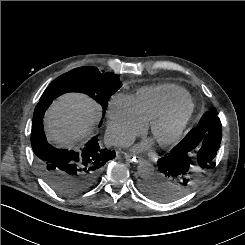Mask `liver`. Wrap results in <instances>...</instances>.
Returning a JSON list of instances; mask_svg holds the SVG:
<instances>
[{"label":"liver","mask_w":245,"mask_h":245,"mask_svg":"<svg viewBox=\"0 0 245 245\" xmlns=\"http://www.w3.org/2000/svg\"><path fill=\"white\" fill-rule=\"evenodd\" d=\"M98 106L82 94H66L55 101L45 117L50 142L70 147L87 137L98 119Z\"/></svg>","instance_id":"6515ba94"}]
</instances>
